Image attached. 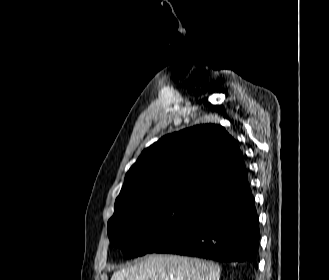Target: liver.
<instances>
[{
  "label": "liver",
  "mask_w": 329,
  "mask_h": 280,
  "mask_svg": "<svg viewBox=\"0 0 329 280\" xmlns=\"http://www.w3.org/2000/svg\"><path fill=\"white\" fill-rule=\"evenodd\" d=\"M218 264L179 255L152 254L113 273L111 280H219Z\"/></svg>",
  "instance_id": "1"
}]
</instances>
